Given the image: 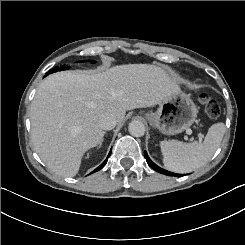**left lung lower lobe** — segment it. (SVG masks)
I'll return each mask as SVG.
<instances>
[{
    "label": "left lung lower lobe",
    "mask_w": 245,
    "mask_h": 245,
    "mask_svg": "<svg viewBox=\"0 0 245 245\" xmlns=\"http://www.w3.org/2000/svg\"><path fill=\"white\" fill-rule=\"evenodd\" d=\"M144 156L146 158V161L148 163V165L154 169L155 171L159 172V173H162V174H165V175H168V176H176V177H179V176H183L182 174H176V173H172V172H169L165 169H162L160 168L159 166H157L148 156L147 152L145 151L144 152Z\"/></svg>",
    "instance_id": "0a47b994"
}]
</instances>
